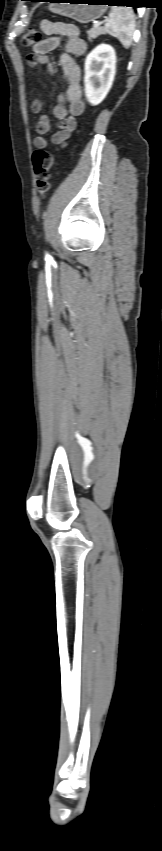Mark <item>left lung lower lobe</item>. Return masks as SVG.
I'll use <instances>...</instances> for the list:
<instances>
[{
	"mask_svg": "<svg viewBox=\"0 0 162 851\" xmlns=\"http://www.w3.org/2000/svg\"><path fill=\"white\" fill-rule=\"evenodd\" d=\"M35 1H42V0H35ZM136 2H137V1H135V0H106V3H108L109 5H125V6H129L130 4H134V3H136Z\"/></svg>",
	"mask_w": 162,
	"mask_h": 851,
	"instance_id": "obj_1",
	"label": "left lung lower lobe"
}]
</instances>
